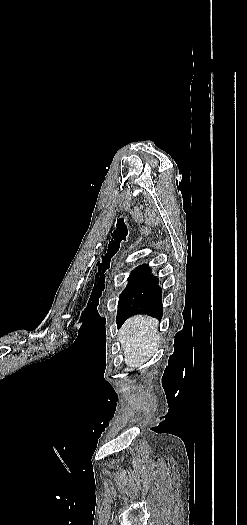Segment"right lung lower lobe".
Returning a JSON list of instances; mask_svg holds the SVG:
<instances>
[{"label": "right lung lower lobe", "mask_w": 247, "mask_h": 525, "mask_svg": "<svg viewBox=\"0 0 247 525\" xmlns=\"http://www.w3.org/2000/svg\"><path fill=\"white\" fill-rule=\"evenodd\" d=\"M158 278L149 269L144 279L127 298L120 316L117 318L120 327L130 316L138 313L148 314L160 319L163 316L162 289Z\"/></svg>", "instance_id": "right-lung-lower-lobe-1"}]
</instances>
